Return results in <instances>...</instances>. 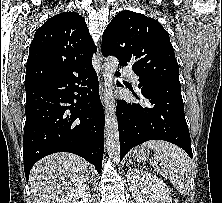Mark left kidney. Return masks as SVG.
Masks as SVG:
<instances>
[{
	"instance_id": "1",
	"label": "left kidney",
	"mask_w": 222,
	"mask_h": 203,
	"mask_svg": "<svg viewBox=\"0 0 222 203\" xmlns=\"http://www.w3.org/2000/svg\"><path fill=\"white\" fill-rule=\"evenodd\" d=\"M127 180L136 203H172L166 183L155 175L130 168L127 172Z\"/></svg>"
}]
</instances>
